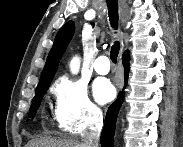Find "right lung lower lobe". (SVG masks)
<instances>
[{
	"instance_id": "obj_1",
	"label": "right lung lower lobe",
	"mask_w": 183,
	"mask_h": 147,
	"mask_svg": "<svg viewBox=\"0 0 183 147\" xmlns=\"http://www.w3.org/2000/svg\"><path fill=\"white\" fill-rule=\"evenodd\" d=\"M123 66L125 69V85L127 84L128 73H129V54L124 53L122 56ZM124 99V91L119 93L117 100L108 108L104 128L101 134V145L102 147H113V137L115 131V124L119 109Z\"/></svg>"
}]
</instances>
